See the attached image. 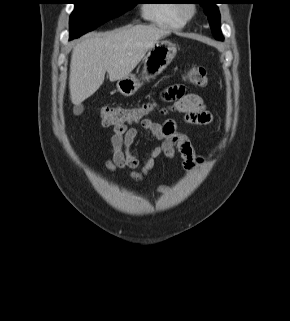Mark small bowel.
Segmentation results:
<instances>
[{"label": "small bowel", "mask_w": 290, "mask_h": 321, "mask_svg": "<svg viewBox=\"0 0 290 321\" xmlns=\"http://www.w3.org/2000/svg\"><path fill=\"white\" fill-rule=\"evenodd\" d=\"M164 96L166 99H172L173 102L162 110L163 114L180 113L184 116V121L192 125L209 126L213 123L212 113L206 109L202 98L198 95L187 94L183 89L174 87L167 89ZM140 126L161 143L150 151L145 165L137 171L139 159L133 153L132 147L138 138V129L128 128L126 125L113 126L109 157L106 160V167L111 172L117 169H128L134 179L142 180L154 167L157 157L165 155L172 159L176 153H179L182 166L186 171L193 169L201 162L191 140L178 130L173 119L168 118L160 123L145 118ZM164 190L165 187L159 188V191Z\"/></svg>", "instance_id": "small-bowel-1"}]
</instances>
